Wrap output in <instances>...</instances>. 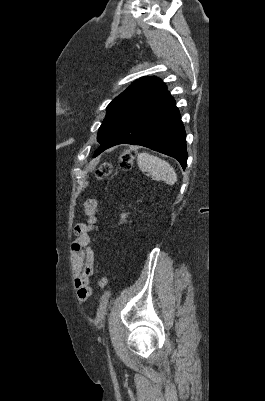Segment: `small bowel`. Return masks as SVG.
<instances>
[{
    "mask_svg": "<svg viewBox=\"0 0 265 401\" xmlns=\"http://www.w3.org/2000/svg\"><path fill=\"white\" fill-rule=\"evenodd\" d=\"M83 208L86 221L75 226L76 239L71 246L75 287L81 301L87 300L93 293L90 278L94 273V252L90 247V235L97 222L98 202L89 198Z\"/></svg>",
    "mask_w": 265,
    "mask_h": 401,
    "instance_id": "obj_1",
    "label": "small bowel"
}]
</instances>
